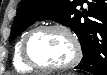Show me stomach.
<instances>
[{
    "mask_svg": "<svg viewBox=\"0 0 107 75\" xmlns=\"http://www.w3.org/2000/svg\"><path fill=\"white\" fill-rule=\"evenodd\" d=\"M66 75H76V74H74V73H69V74H66Z\"/></svg>",
    "mask_w": 107,
    "mask_h": 75,
    "instance_id": "0dacf381",
    "label": "stomach"
}]
</instances>
